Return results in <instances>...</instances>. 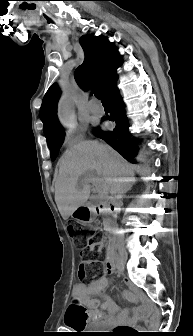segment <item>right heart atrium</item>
<instances>
[{"label": "right heart atrium", "instance_id": "right-heart-atrium-1", "mask_svg": "<svg viewBox=\"0 0 193 336\" xmlns=\"http://www.w3.org/2000/svg\"><path fill=\"white\" fill-rule=\"evenodd\" d=\"M85 134V129L83 127H73L68 129L64 135V143L66 145H73L80 141Z\"/></svg>", "mask_w": 193, "mask_h": 336}]
</instances>
